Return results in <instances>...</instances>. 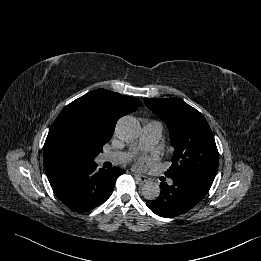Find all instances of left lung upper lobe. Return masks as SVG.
<instances>
[{
  "instance_id": "5c2ea615",
  "label": "left lung upper lobe",
  "mask_w": 261,
  "mask_h": 261,
  "mask_svg": "<svg viewBox=\"0 0 261 261\" xmlns=\"http://www.w3.org/2000/svg\"><path fill=\"white\" fill-rule=\"evenodd\" d=\"M144 102L170 131L174 155L165 175L171 177L191 173L214 179L219 154L205 117L178 98H145Z\"/></svg>"
}]
</instances>
